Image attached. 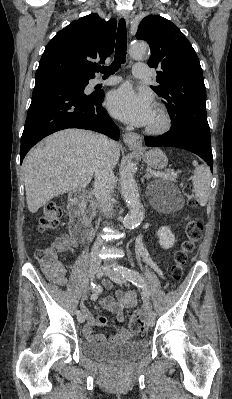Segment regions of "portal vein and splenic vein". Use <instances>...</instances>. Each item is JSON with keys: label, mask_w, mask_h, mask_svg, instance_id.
<instances>
[{"label": "portal vein and splenic vein", "mask_w": 232, "mask_h": 399, "mask_svg": "<svg viewBox=\"0 0 232 399\" xmlns=\"http://www.w3.org/2000/svg\"><path fill=\"white\" fill-rule=\"evenodd\" d=\"M147 172H151L150 168H147ZM153 176H159V174H156V172H152Z\"/></svg>", "instance_id": "18ae733b"}]
</instances>
